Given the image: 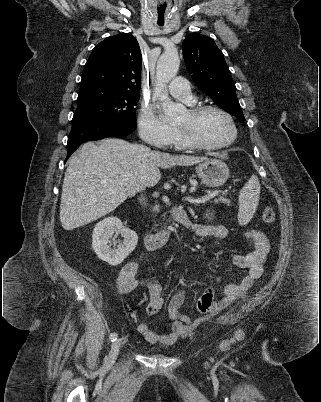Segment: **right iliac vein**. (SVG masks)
<instances>
[{"label":"right iliac vein","mask_w":321,"mask_h":402,"mask_svg":"<svg viewBox=\"0 0 321 402\" xmlns=\"http://www.w3.org/2000/svg\"><path fill=\"white\" fill-rule=\"evenodd\" d=\"M120 346H121V339H116V340L112 343V345H111V350H110V354H109V360H110L111 362H113V361L117 358V355H118Z\"/></svg>","instance_id":"obj_1"}]
</instances>
